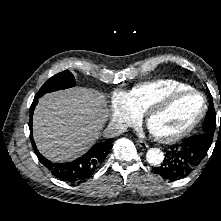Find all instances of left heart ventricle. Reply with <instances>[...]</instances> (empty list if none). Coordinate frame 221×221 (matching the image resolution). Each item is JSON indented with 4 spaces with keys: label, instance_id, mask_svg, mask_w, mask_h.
I'll return each mask as SVG.
<instances>
[{
    "label": "left heart ventricle",
    "instance_id": "1",
    "mask_svg": "<svg viewBox=\"0 0 221 221\" xmlns=\"http://www.w3.org/2000/svg\"><path fill=\"white\" fill-rule=\"evenodd\" d=\"M201 106L202 99L199 95L183 96L155 114L149 121V128L160 134L174 133L187 125L197 115Z\"/></svg>",
    "mask_w": 221,
    "mask_h": 221
}]
</instances>
